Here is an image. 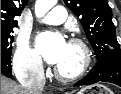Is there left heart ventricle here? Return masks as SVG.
I'll list each match as a JSON object with an SVG mask.
<instances>
[{
  "label": "left heart ventricle",
  "instance_id": "1",
  "mask_svg": "<svg viewBox=\"0 0 121 94\" xmlns=\"http://www.w3.org/2000/svg\"><path fill=\"white\" fill-rule=\"evenodd\" d=\"M82 53L77 46L67 44L65 53L56 67L64 73H73L81 65Z\"/></svg>",
  "mask_w": 121,
  "mask_h": 94
}]
</instances>
